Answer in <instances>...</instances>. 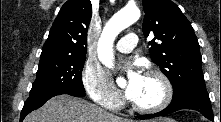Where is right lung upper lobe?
Returning a JSON list of instances; mask_svg holds the SVG:
<instances>
[{"label": "right lung upper lobe", "instance_id": "1", "mask_svg": "<svg viewBox=\"0 0 221 122\" xmlns=\"http://www.w3.org/2000/svg\"><path fill=\"white\" fill-rule=\"evenodd\" d=\"M91 17L90 0H68L51 27L40 60L86 57L87 28Z\"/></svg>", "mask_w": 221, "mask_h": 122}]
</instances>
